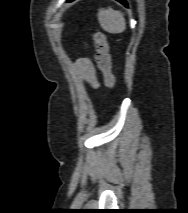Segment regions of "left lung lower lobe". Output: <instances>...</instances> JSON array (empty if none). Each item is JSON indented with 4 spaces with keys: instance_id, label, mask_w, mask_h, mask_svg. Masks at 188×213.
<instances>
[{
    "instance_id": "left-lung-lower-lobe-1",
    "label": "left lung lower lobe",
    "mask_w": 188,
    "mask_h": 213,
    "mask_svg": "<svg viewBox=\"0 0 188 213\" xmlns=\"http://www.w3.org/2000/svg\"><path fill=\"white\" fill-rule=\"evenodd\" d=\"M68 1H73V0H68ZM119 1L120 3H122L123 5L127 6V3L125 2V0H117Z\"/></svg>"
}]
</instances>
